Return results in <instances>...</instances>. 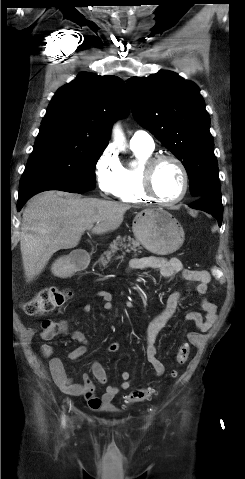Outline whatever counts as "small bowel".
Segmentation results:
<instances>
[{
    "label": "small bowel",
    "instance_id": "small-bowel-1",
    "mask_svg": "<svg viewBox=\"0 0 245 479\" xmlns=\"http://www.w3.org/2000/svg\"><path fill=\"white\" fill-rule=\"evenodd\" d=\"M143 269L156 270L165 279H170L176 274L181 273L185 281L195 282L193 290L204 295L207 292V286L211 280V276L206 270L184 269L178 258H162V257H142L132 258L128 263V271H138ZM97 296L103 301V309L110 311L113 309V295L107 291L97 292ZM182 292L175 291L171 293L164 309L158 313L150 322L146 335V355L148 362L153 367L155 374L161 376L165 372L164 364L157 358V337L160 331L165 327L168 321L175 315ZM92 306L87 304L83 307V312H90ZM200 309L204 313L189 312L186 320L195 324L200 332L209 331L217 320V307L207 298L200 301ZM59 332L66 334L68 325L66 321H60ZM71 336L78 341L80 345L72 349L68 357L70 360H78L87 352V339L81 331H73ZM120 348L118 342H111L107 349L110 352H117ZM41 354L48 360V365L52 377L59 389L67 395L83 397L91 410H106L113 406L114 398L122 391L131 388V374L128 371L121 373L122 383L118 386H108L105 392L98 396L96 394V384L88 374L83 375L81 383H75L67 375L63 362L59 357L54 356L53 347L50 344H43L40 347ZM91 374L99 384H106L107 373L104 367L97 361L91 364Z\"/></svg>",
    "mask_w": 245,
    "mask_h": 479
}]
</instances>
